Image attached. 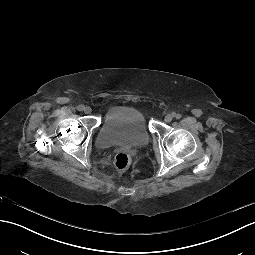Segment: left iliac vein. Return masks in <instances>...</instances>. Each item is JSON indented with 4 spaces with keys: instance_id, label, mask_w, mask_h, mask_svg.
I'll use <instances>...</instances> for the list:
<instances>
[{
    "instance_id": "left-iliac-vein-1",
    "label": "left iliac vein",
    "mask_w": 255,
    "mask_h": 255,
    "mask_svg": "<svg viewBox=\"0 0 255 255\" xmlns=\"http://www.w3.org/2000/svg\"><path fill=\"white\" fill-rule=\"evenodd\" d=\"M172 119H173V116H172L171 114H167V115L165 116V118H164V121L167 122V123H169V122L172 121Z\"/></svg>"
}]
</instances>
